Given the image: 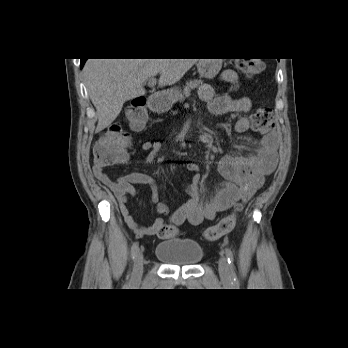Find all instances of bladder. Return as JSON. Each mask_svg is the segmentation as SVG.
I'll return each instance as SVG.
<instances>
[{"instance_id":"1","label":"bladder","mask_w":348,"mask_h":348,"mask_svg":"<svg viewBox=\"0 0 348 348\" xmlns=\"http://www.w3.org/2000/svg\"><path fill=\"white\" fill-rule=\"evenodd\" d=\"M203 254V248L198 242L184 240L161 242L154 250L155 257L169 266L197 265Z\"/></svg>"}]
</instances>
